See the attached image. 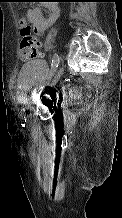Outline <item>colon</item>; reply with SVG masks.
Returning a JSON list of instances; mask_svg holds the SVG:
<instances>
[{
    "instance_id": "colon-1",
    "label": "colon",
    "mask_w": 122,
    "mask_h": 218,
    "mask_svg": "<svg viewBox=\"0 0 122 218\" xmlns=\"http://www.w3.org/2000/svg\"><path fill=\"white\" fill-rule=\"evenodd\" d=\"M21 42L19 46V57L21 60H30L38 56L39 41L32 35L31 26L27 23L21 25ZM70 95L73 98H79L81 93L77 90H71Z\"/></svg>"
}]
</instances>
